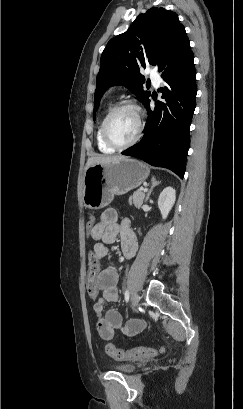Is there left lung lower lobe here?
Here are the masks:
<instances>
[{"instance_id":"left-lung-lower-lobe-1","label":"left lung lower lobe","mask_w":243,"mask_h":409,"mask_svg":"<svg viewBox=\"0 0 243 409\" xmlns=\"http://www.w3.org/2000/svg\"><path fill=\"white\" fill-rule=\"evenodd\" d=\"M167 83L162 102L148 112L143 139L123 151V155L139 158L152 166L168 168L183 178L190 145L189 129L196 101V71L190 42H186L162 71Z\"/></svg>"}]
</instances>
